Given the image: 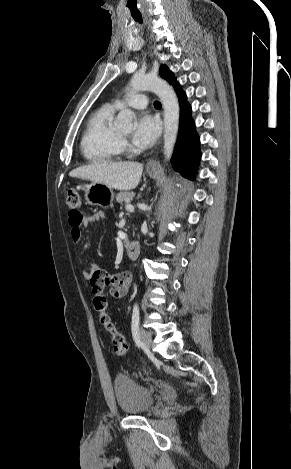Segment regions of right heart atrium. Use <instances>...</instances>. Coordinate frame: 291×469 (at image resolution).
I'll use <instances>...</instances> for the list:
<instances>
[{"label": "right heart atrium", "mask_w": 291, "mask_h": 469, "mask_svg": "<svg viewBox=\"0 0 291 469\" xmlns=\"http://www.w3.org/2000/svg\"><path fill=\"white\" fill-rule=\"evenodd\" d=\"M123 144L125 145V144H126V142H125V141H123Z\"/></svg>", "instance_id": "1"}]
</instances>
